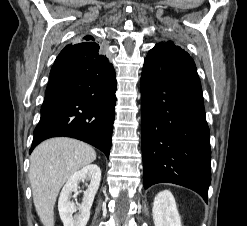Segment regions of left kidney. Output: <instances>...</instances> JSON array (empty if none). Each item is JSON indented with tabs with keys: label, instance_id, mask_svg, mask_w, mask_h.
Segmentation results:
<instances>
[{
	"label": "left kidney",
	"instance_id": "5707ae66",
	"mask_svg": "<svg viewBox=\"0 0 247 226\" xmlns=\"http://www.w3.org/2000/svg\"><path fill=\"white\" fill-rule=\"evenodd\" d=\"M152 215L155 226H182L175 199L168 190L155 196Z\"/></svg>",
	"mask_w": 247,
	"mask_h": 226
}]
</instances>
